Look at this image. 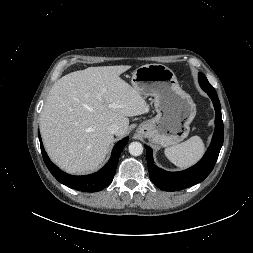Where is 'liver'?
<instances>
[{"label": "liver", "instance_id": "6515ba94", "mask_svg": "<svg viewBox=\"0 0 253 253\" xmlns=\"http://www.w3.org/2000/svg\"><path fill=\"white\" fill-rule=\"evenodd\" d=\"M130 68L88 67L54 83L40 114V132L49 157L61 169L75 174L96 170L114 138L108 127L117 124L116 135L122 137L128 117L149 111L142 95L120 78Z\"/></svg>", "mask_w": 253, "mask_h": 253}]
</instances>
